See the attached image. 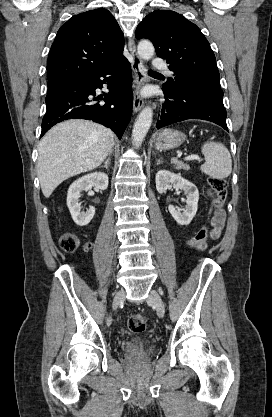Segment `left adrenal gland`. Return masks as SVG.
Instances as JSON below:
<instances>
[{
    "label": "left adrenal gland",
    "mask_w": 272,
    "mask_h": 417,
    "mask_svg": "<svg viewBox=\"0 0 272 417\" xmlns=\"http://www.w3.org/2000/svg\"><path fill=\"white\" fill-rule=\"evenodd\" d=\"M160 164H162V161H161V159H158L157 160V165H160Z\"/></svg>",
    "instance_id": "1"
}]
</instances>
